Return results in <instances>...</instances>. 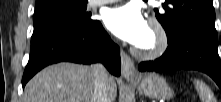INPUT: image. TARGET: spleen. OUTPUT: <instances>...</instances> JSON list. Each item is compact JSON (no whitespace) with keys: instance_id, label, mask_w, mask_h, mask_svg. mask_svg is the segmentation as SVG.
Wrapping results in <instances>:
<instances>
[{"instance_id":"spleen-1","label":"spleen","mask_w":221,"mask_h":102,"mask_svg":"<svg viewBox=\"0 0 221 102\" xmlns=\"http://www.w3.org/2000/svg\"><path fill=\"white\" fill-rule=\"evenodd\" d=\"M194 85L202 102H215L214 95L212 94L211 90L204 82L195 79Z\"/></svg>"}]
</instances>
